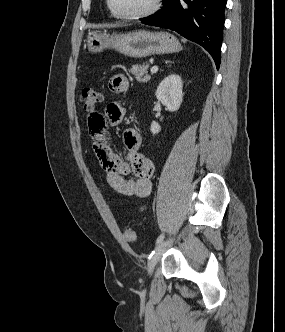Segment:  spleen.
Masks as SVG:
<instances>
[{
  "instance_id": "3e777b00",
  "label": "spleen",
  "mask_w": 285,
  "mask_h": 332,
  "mask_svg": "<svg viewBox=\"0 0 285 332\" xmlns=\"http://www.w3.org/2000/svg\"><path fill=\"white\" fill-rule=\"evenodd\" d=\"M181 41H182L183 43H185V40H184V39H182Z\"/></svg>"
}]
</instances>
